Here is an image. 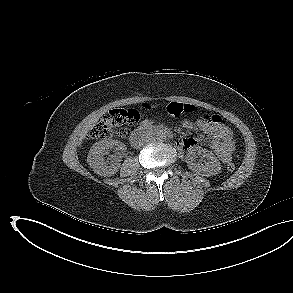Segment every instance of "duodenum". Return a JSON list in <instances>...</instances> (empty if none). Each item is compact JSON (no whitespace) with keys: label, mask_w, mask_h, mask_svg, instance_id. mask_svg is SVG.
<instances>
[{"label":"duodenum","mask_w":293,"mask_h":293,"mask_svg":"<svg viewBox=\"0 0 293 293\" xmlns=\"http://www.w3.org/2000/svg\"><path fill=\"white\" fill-rule=\"evenodd\" d=\"M150 135L158 136H170L171 133L169 130L161 127H152L150 125H143L140 128L136 129L131 137L130 141L133 146H139L143 140ZM178 145V144H177Z\"/></svg>","instance_id":"duodenum-1"}]
</instances>
